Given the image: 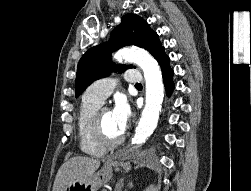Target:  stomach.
<instances>
[{
  "label": "stomach",
  "mask_w": 251,
  "mask_h": 191,
  "mask_svg": "<svg viewBox=\"0 0 251 191\" xmlns=\"http://www.w3.org/2000/svg\"><path fill=\"white\" fill-rule=\"evenodd\" d=\"M121 155H117L114 159H107L104 167L93 173L91 179L87 181V183H82V181H72L66 187V191H97L101 185H104L106 181H109L110 177H112V165L114 167H118V165H122V167H126L125 163H119L116 159H120Z\"/></svg>",
  "instance_id": "1"
}]
</instances>
